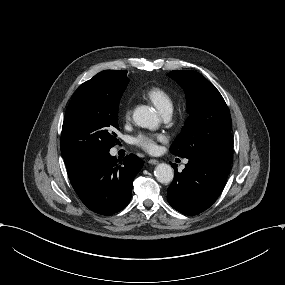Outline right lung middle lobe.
Returning a JSON list of instances; mask_svg holds the SVG:
<instances>
[{"label":"right lung middle lobe","mask_w":285,"mask_h":285,"mask_svg":"<svg viewBox=\"0 0 285 285\" xmlns=\"http://www.w3.org/2000/svg\"><path fill=\"white\" fill-rule=\"evenodd\" d=\"M88 81L79 86L66 110L60 141L65 162L108 153L119 142L118 105L129 79L125 75L108 85Z\"/></svg>","instance_id":"obj_1"}]
</instances>
